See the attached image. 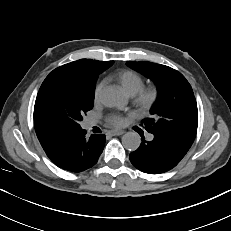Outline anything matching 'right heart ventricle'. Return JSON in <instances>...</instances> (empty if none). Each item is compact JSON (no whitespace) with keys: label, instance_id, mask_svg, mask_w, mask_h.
Instances as JSON below:
<instances>
[{"label":"right heart ventricle","instance_id":"right-heart-ventricle-1","mask_svg":"<svg viewBox=\"0 0 231 231\" xmlns=\"http://www.w3.org/2000/svg\"><path fill=\"white\" fill-rule=\"evenodd\" d=\"M117 81L130 96H134L144 86L143 77L132 70H125L119 73Z\"/></svg>","mask_w":231,"mask_h":231}]
</instances>
